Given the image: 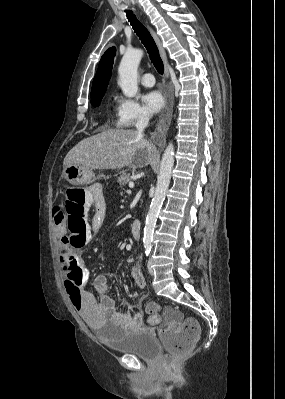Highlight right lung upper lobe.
<instances>
[{"instance_id":"cb5924a9","label":"right lung upper lobe","mask_w":285,"mask_h":399,"mask_svg":"<svg viewBox=\"0 0 285 399\" xmlns=\"http://www.w3.org/2000/svg\"><path fill=\"white\" fill-rule=\"evenodd\" d=\"M115 51L116 48L111 47L102 56L98 70L96 72V76L93 80L91 97L104 93L106 91L112 74V65L114 61Z\"/></svg>"}]
</instances>
